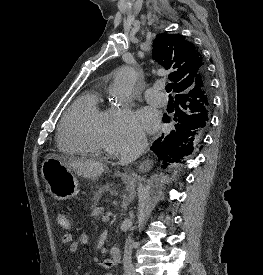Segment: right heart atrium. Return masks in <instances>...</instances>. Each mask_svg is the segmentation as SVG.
<instances>
[{"mask_svg": "<svg viewBox=\"0 0 263 275\" xmlns=\"http://www.w3.org/2000/svg\"><path fill=\"white\" fill-rule=\"evenodd\" d=\"M144 134L135 127L133 116L127 108L110 110L105 127V148L111 153H121L144 143Z\"/></svg>", "mask_w": 263, "mask_h": 275, "instance_id": "right-heart-atrium-1", "label": "right heart atrium"}]
</instances>
